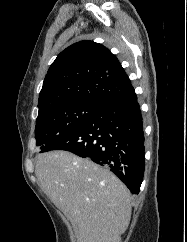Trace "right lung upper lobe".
I'll use <instances>...</instances> for the list:
<instances>
[{
	"instance_id": "1",
	"label": "right lung upper lobe",
	"mask_w": 187,
	"mask_h": 242,
	"mask_svg": "<svg viewBox=\"0 0 187 242\" xmlns=\"http://www.w3.org/2000/svg\"><path fill=\"white\" fill-rule=\"evenodd\" d=\"M133 91L115 55L101 44L80 41L50 66L39 94V114L74 102L103 106Z\"/></svg>"
}]
</instances>
